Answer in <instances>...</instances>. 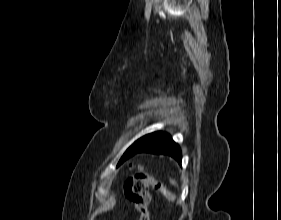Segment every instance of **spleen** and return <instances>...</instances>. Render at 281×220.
<instances>
[{
  "mask_svg": "<svg viewBox=\"0 0 281 220\" xmlns=\"http://www.w3.org/2000/svg\"><path fill=\"white\" fill-rule=\"evenodd\" d=\"M170 183H172L173 185L177 186V182L174 179H170Z\"/></svg>",
  "mask_w": 281,
  "mask_h": 220,
  "instance_id": "1",
  "label": "spleen"
}]
</instances>
